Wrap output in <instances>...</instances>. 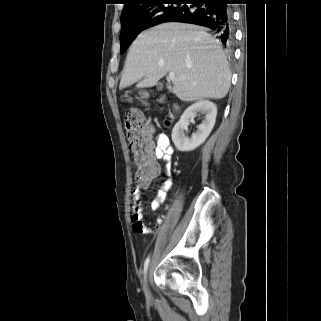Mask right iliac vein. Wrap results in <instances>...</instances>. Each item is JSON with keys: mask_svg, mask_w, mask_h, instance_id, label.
Instances as JSON below:
<instances>
[{"mask_svg": "<svg viewBox=\"0 0 321 321\" xmlns=\"http://www.w3.org/2000/svg\"><path fill=\"white\" fill-rule=\"evenodd\" d=\"M148 278H149V275L146 276L145 284H144V290L147 296H149Z\"/></svg>", "mask_w": 321, "mask_h": 321, "instance_id": "right-iliac-vein-1", "label": "right iliac vein"}]
</instances>
